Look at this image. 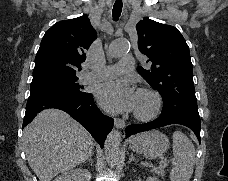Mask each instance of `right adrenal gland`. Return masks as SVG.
Segmentation results:
<instances>
[{
    "label": "right adrenal gland",
    "mask_w": 228,
    "mask_h": 181,
    "mask_svg": "<svg viewBox=\"0 0 228 181\" xmlns=\"http://www.w3.org/2000/svg\"><path fill=\"white\" fill-rule=\"evenodd\" d=\"M92 157H93V155H91V157H89V159H87V161H85V163H83V165H86V163H91V165H93Z\"/></svg>",
    "instance_id": "1"
}]
</instances>
